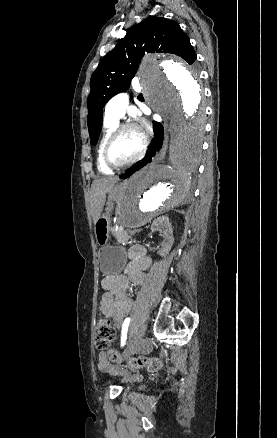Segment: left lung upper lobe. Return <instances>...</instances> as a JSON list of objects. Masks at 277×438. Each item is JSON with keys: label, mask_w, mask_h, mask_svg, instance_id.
I'll list each match as a JSON object with an SVG mask.
<instances>
[{"label": "left lung upper lobe", "mask_w": 277, "mask_h": 438, "mask_svg": "<svg viewBox=\"0 0 277 438\" xmlns=\"http://www.w3.org/2000/svg\"><path fill=\"white\" fill-rule=\"evenodd\" d=\"M145 51L175 54L189 64L196 60L189 37L175 21L151 16L127 30L126 37L106 54L91 77L87 99L91 144L98 140L102 108L111 97L129 87Z\"/></svg>", "instance_id": "obj_1"}]
</instances>
